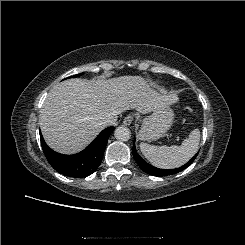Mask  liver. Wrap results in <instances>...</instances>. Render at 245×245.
I'll use <instances>...</instances> for the list:
<instances>
[{"mask_svg":"<svg viewBox=\"0 0 245 245\" xmlns=\"http://www.w3.org/2000/svg\"><path fill=\"white\" fill-rule=\"evenodd\" d=\"M177 102L174 94L159 92L141 76L65 80L48 93L39 124L53 150L74 154L87 147L105 128L104 122L130 109L147 114Z\"/></svg>","mask_w":245,"mask_h":245,"instance_id":"6515ba94","label":"liver"}]
</instances>
